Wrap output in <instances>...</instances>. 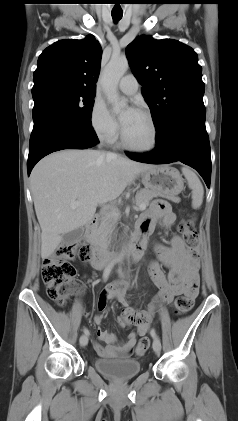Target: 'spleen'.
Returning <instances> with one entry per match:
<instances>
[{
    "label": "spleen",
    "mask_w": 238,
    "mask_h": 421,
    "mask_svg": "<svg viewBox=\"0 0 238 421\" xmlns=\"http://www.w3.org/2000/svg\"><path fill=\"white\" fill-rule=\"evenodd\" d=\"M182 173L185 176L189 188L192 190V207L197 209L202 205L204 188L197 175L187 167L182 168Z\"/></svg>",
    "instance_id": "obj_1"
}]
</instances>
